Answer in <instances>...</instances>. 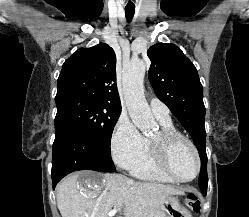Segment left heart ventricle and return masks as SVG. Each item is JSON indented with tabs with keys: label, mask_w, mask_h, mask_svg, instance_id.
<instances>
[{
	"label": "left heart ventricle",
	"mask_w": 249,
	"mask_h": 217,
	"mask_svg": "<svg viewBox=\"0 0 249 217\" xmlns=\"http://www.w3.org/2000/svg\"><path fill=\"white\" fill-rule=\"evenodd\" d=\"M157 135L153 136V139ZM170 165L174 173L181 178H189L195 173L196 159L187 143L178 141L173 144L170 151Z\"/></svg>",
	"instance_id": "obj_1"
}]
</instances>
